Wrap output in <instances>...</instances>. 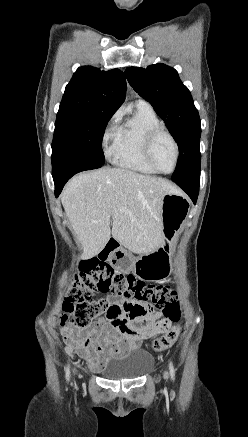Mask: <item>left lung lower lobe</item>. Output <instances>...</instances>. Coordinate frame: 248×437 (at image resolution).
<instances>
[{"label":"left lung lower lobe","mask_w":248,"mask_h":437,"mask_svg":"<svg viewBox=\"0 0 248 437\" xmlns=\"http://www.w3.org/2000/svg\"><path fill=\"white\" fill-rule=\"evenodd\" d=\"M199 182H200V178L197 180L175 182V183L179 185L190 196L193 203L195 204L199 193Z\"/></svg>","instance_id":"obj_1"}]
</instances>
